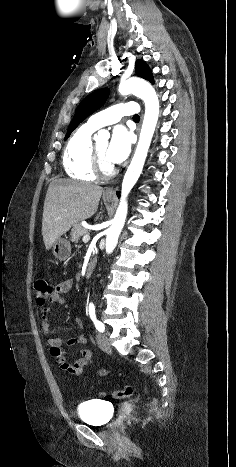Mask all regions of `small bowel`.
<instances>
[{
    "mask_svg": "<svg viewBox=\"0 0 236 467\" xmlns=\"http://www.w3.org/2000/svg\"><path fill=\"white\" fill-rule=\"evenodd\" d=\"M72 286L73 281L71 279H66L57 284L52 292L50 301L58 305L63 304L65 302L64 296L71 291ZM50 314L51 311L47 307H44L41 311L40 318L42 322V328L45 333L50 332ZM76 326L80 329L84 327V322L81 318L76 319ZM64 341L70 346L76 344L83 345L86 343V337L84 334H79L76 337H69L66 340H64L62 337H53L47 340L50 354L53 357L59 371L65 374L79 376L82 374L84 367L92 361V351L85 348L80 349V356L74 360L73 363H69L67 361V352L62 349V344ZM100 374L105 375L106 370H102Z\"/></svg>",
    "mask_w": 236,
    "mask_h": 467,
    "instance_id": "small-bowel-1",
    "label": "small bowel"
}]
</instances>
